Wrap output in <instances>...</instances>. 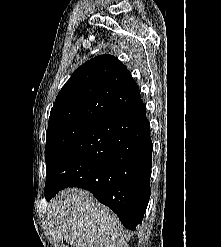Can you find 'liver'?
<instances>
[{"instance_id":"obj_1","label":"liver","mask_w":221,"mask_h":247,"mask_svg":"<svg viewBox=\"0 0 221 247\" xmlns=\"http://www.w3.org/2000/svg\"><path fill=\"white\" fill-rule=\"evenodd\" d=\"M56 228L73 247H128L118 217L85 190L68 188L47 206Z\"/></svg>"}]
</instances>
